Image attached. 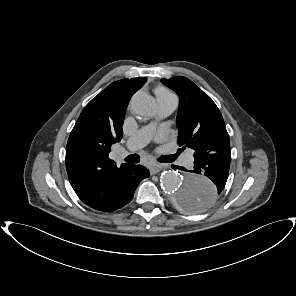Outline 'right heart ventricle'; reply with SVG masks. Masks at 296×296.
Wrapping results in <instances>:
<instances>
[{
	"label": "right heart ventricle",
	"mask_w": 296,
	"mask_h": 296,
	"mask_svg": "<svg viewBox=\"0 0 296 296\" xmlns=\"http://www.w3.org/2000/svg\"><path fill=\"white\" fill-rule=\"evenodd\" d=\"M155 94L156 96H165V95H171L172 93L167 88L163 86H158L155 89Z\"/></svg>",
	"instance_id": "e07e8e85"
}]
</instances>
